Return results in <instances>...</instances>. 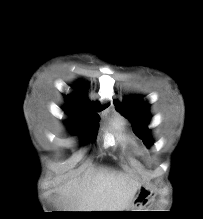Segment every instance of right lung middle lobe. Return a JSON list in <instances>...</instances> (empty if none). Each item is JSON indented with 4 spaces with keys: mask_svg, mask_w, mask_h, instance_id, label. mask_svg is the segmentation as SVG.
Segmentation results:
<instances>
[{
    "mask_svg": "<svg viewBox=\"0 0 203 219\" xmlns=\"http://www.w3.org/2000/svg\"><path fill=\"white\" fill-rule=\"evenodd\" d=\"M63 110L73 117V121L67 123L73 133L86 131V136L83 141L89 142L91 139L94 140L96 124L99 121L98 115L90 113V111L82 105L68 102ZM91 127L93 128L91 129Z\"/></svg>",
    "mask_w": 203,
    "mask_h": 219,
    "instance_id": "1",
    "label": "right lung middle lobe"
}]
</instances>
